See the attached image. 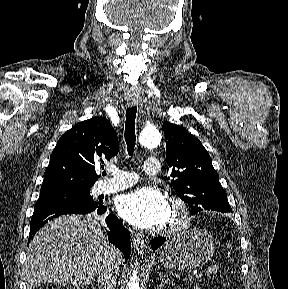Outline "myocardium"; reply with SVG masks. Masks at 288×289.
Here are the masks:
<instances>
[{"label": "myocardium", "instance_id": "1", "mask_svg": "<svg viewBox=\"0 0 288 289\" xmlns=\"http://www.w3.org/2000/svg\"><path fill=\"white\" fill-rule=\"evenodd\" d=\"M171 220L169 231L171 233L182 232L190 226L191 213L189 205L180 198L171 201Z\"/></svg>", "mask_w": 288, "mask_h": 289}]
</instances>
